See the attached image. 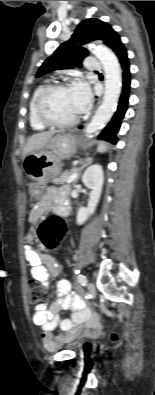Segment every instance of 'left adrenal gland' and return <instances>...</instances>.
Returning a JSON list of instances; mask_svg holds the SVG:
<instances>
[{
  "instance_id": "left-adrenal-gland-1",
  "label": "left adrenal gland",
  "mask_w": 155,
  "mask_h": 395,
  "mask_svg": "<svg viewBox=\"0 0 155 395\" xmlns=\"http://www.w3.org/2000/svg\"><path fill=\"white\" fill-rule=\"evenodd\" d=\"M91 163H92V158H90V157L85 158V159L81 162V166H80V168L78 169V175L76 176L75 180L73 181V186H75V184L78 182V180H79V178H80V176H81L82 170H83L86 166L90 165Z\"/></svg>"
}]
</instances>
